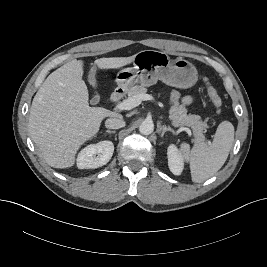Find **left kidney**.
<instances>
[{
	"label": "left kidney",
	"mask_w": 267,
	"mask_h": 267,
	"mask_svg": "<svg viewBox=\"0 0 267 267\" xmlns=\"http://www.w3.org/2000/svg\"><path fill=\"white\" fill-rule=\"evenodd\" d=\"M168 166L174 175H180L184 168L183 157L175 145H170L167 150Z\"/></svg>",
	"instance_id": "1"
}]
</instances>
